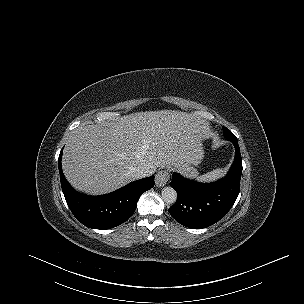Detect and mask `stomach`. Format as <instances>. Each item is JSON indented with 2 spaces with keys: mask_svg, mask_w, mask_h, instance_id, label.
I'll use <instances>...</instances> for the list:
<instances>
[{
  "mask_svg": "<svg viewBox=\"0 0 304 304\" xmlns=\"http://www.w3.org/2000/svg\"><path fill=\"white\" fill-rule=\"evenodd\" d=\"M201 158L202 151L195 153V155H192L178 170L186 177L196 178L198 176V171L195 167L200 162Z\"/></svg>",
  "mask_w": 304,
  "mask_h": 304,
  "instance_id": "1",
  "label": "stomach"
}]
</instances>
